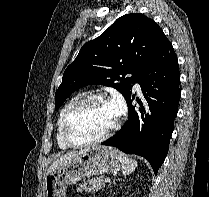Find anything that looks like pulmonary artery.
<instances>
[{"mask_svg": "<svg viewBox=\"0 0 209 197\" xmlns=\"http://www.w3.org/2000/svg\"><path fill=\"white\" fill-rule=\"evenodd\" d=\"M135 88H136L137 90H140V85H139V83H136V84H135Z\"/></svg>", "mask_w": 209, "mask_h": 197, "instance_id": "obj_1", "label": "pulmonary artery"}]
</instances>
